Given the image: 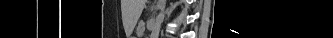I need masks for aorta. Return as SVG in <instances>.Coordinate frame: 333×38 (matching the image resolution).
Returning a JSON list of instances; mask_svg holds the SVG:
<instances>
[{
    "instance_id": "1",
    "label": "aorta",
    "mask_w": 333,
    "mask_h": 38,
    "mask_svg": "<svg viewBox=\"0 0 333 38\" xmlns=\"http://www.w3.org/2000/svg\"><path fill=\"white\" fill-rule=\"evenodd\" d=\"M165 5H166V0H158L157 7L159 9V13L156 17L154 26L151 30V38H158L159 37L161 24L163 23L164 16H165L164 15Z\"/></svg>"
}]
</instances>
